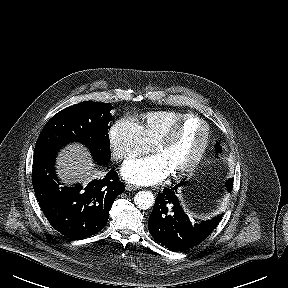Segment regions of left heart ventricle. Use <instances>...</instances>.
Masks as SVG:
<instances>
[{
    "instance_id": "1",
    "label": "left heart ventricle",
    "mask_w": 288,
    "mask_h": 288,
    "mask_svg": "<svg viewBox=\"0 0 288 288\" xmlns=\"http://www.w3.org/2000/svg\"><path fill=\"white\" fill-rule=\"evenodd\" d=\"M205 126L198 120L187 122L174 140L155 150L166 164L169 174L181 172L199 153L205 138Z\"/></svg>"
}]
</instances>
